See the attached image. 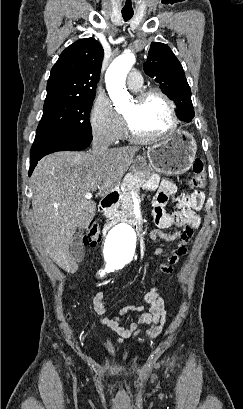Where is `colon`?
I'll list each match as a JSON object with an SVG mask.
<instances>
[{
  "instance_id": "colon-1",
  "label": "colon",
  "mask_w": 243,
  "mask_h": 409,
  "mask_svg": "<svg viewBox=\"0 0 243 409\" xmlns=\"http://www.w3.org/2000/svg\"><path fill=\"white\" fill-rule=\"evenodd\" d=\"M206 171L201 160H196L192 166L190 185L194 188H202L206 184ZM101 239V233L95 223H91L84 236V243L89 247H95Z\"/></svg>"
}]
</instances>
